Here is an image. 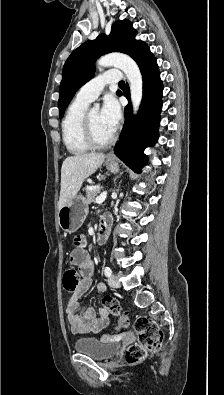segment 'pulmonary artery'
<instances>
[{"label": "pulmonary artery", "mask_w": 224, "mask_h": 395, "mask_svg": "<svg viewBox=\"0 0 224 395\" xmlns=\"http://www.w3.org/2000/svg\"><path fill=\"white\" fill-rule=\"evenodd\" d=\"M121 71L110 69L96 76L85 85H83L78 93L77 98L88 103L94 101L102 92L107 84L116 83L121 80Z\"/></svg>", "instance_id": "pulmonary-artery-1"}]
</instances>
